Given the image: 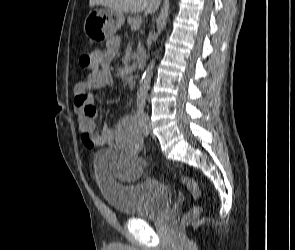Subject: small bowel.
Segmentation results:
<instances>
[{"label":"small bowel","instance_id":"c3829d8e","mask_svg":"<svg viewBox=\"0 0 295 250\" xmlns=\"http://www.w3.org/2000/svg\"><path fill=\"white\" fill-rule=\"evenodd\" d=\"M119 41L111 38L104 50L91 53L93 63L87 78L75 86L74 104L78 113L81 140L87 148L111 146L125 153L116 168V177L129 181L139 176L145 167V161L139 157L141 136L133 116L122 118L114 129L106 124L97 128V108L94 91L102 90L111 83L110 62L117 56Z\"/></svg>","mask_w":295,"mask_h":250}]
</instances>
